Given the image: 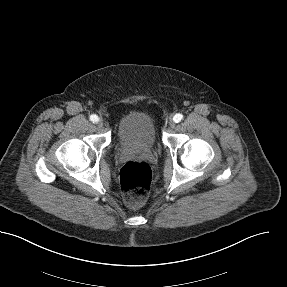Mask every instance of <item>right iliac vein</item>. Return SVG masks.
<instances>
[{
    "label": "right iliac vein",
    "instance_id": "63e3f726",
    "mask_svg": "<svg viewBox=\"0 0 287 287\" xmlns=\"http://www.w3.org/2000/svg\"><path fill=\"white\" fill-rule=\"evenodd\" d=\"M97 124H98V126L102 127V126H103L102 120H98V121H97Z\"/></svg>",
    "mask_w": 287,
    "mask_h": 287
}]
</instances>
